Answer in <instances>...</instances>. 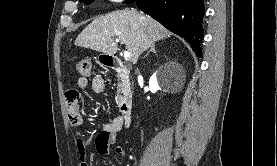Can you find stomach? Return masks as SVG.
<instances>
[{
	"label": "stomach",
	"instance_id": "1",
	"mask_svg": "<svg viewBox=\"0 0 277 166\" xmlns=\"http://www.w3.org/2000/svg\"><path fill=\"white\" fill-rule=\"evenodd\" d=\"M110 55H107V54H100L98 57H97V61L98 63L101 65V66H105V65H108V61H109V57Z\"/></svg>",
	"mask_w": 277,
	"mask_h": 166
}]
</instances>
